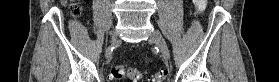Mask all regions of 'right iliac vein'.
I'll return each mask as SVG.
<instances>
[{
	"mask_svg": "<svg viewBox=\"0 0 279 82\" xmlns=\"http://www.w3.org/2000/svg\"><path fill=\"white\" fill-rule=\"evenodd\" d=\"M115 36H116L115 33H112V38H115Z\"/></svg>",
	"mask_w": 279,
	"mask_h": 82,
	"instance_id": "63e3f726",
	"label": "right iliac vein"
}]
</instances>
